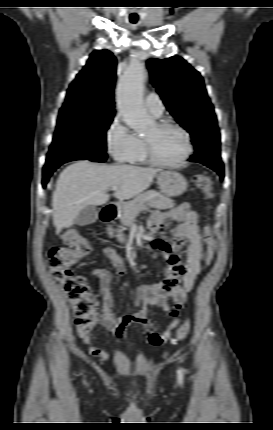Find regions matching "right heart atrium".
I'll use <instances>...</instances> for the list:
<instances>
[{"mask_svg": "<svg viewBox=\"0 0 273 430\" xmlns=\"http://www.w3.org/2000/svg\"><path fill=\"white\" fill-rule=\"evenodd\" d=\"M106 145L111 156L118 162H131L141 148V141L116 115L106 130Z\"/></svg>", "mask_w": 273, "mask_h": 430, "instance_id": "obj_1", "label": "right heart atrium"}]
</instances>
